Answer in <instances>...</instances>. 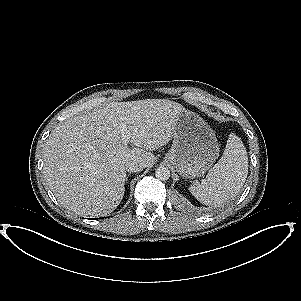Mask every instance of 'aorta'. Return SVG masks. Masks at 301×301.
Here are the masks:
<instances>
[{"label":"aorta","mask_w":301,"mask_h":301,"mask_svg":"<svg viewBox=\"0 0 301 301\" xmlns=\"http://www.w3.org/2000/svg\"><path fill=\"white\" fill-rule=\"evenodd\" d=\"M155 176L158 180L166 181L170 178V170L165 166H160L156 169Z\"/></svg>","instance_id":"obj_1"}]
</instances>
